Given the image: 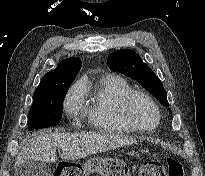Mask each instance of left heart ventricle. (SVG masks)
<instances>
[{
  "label": "left heart ventricle",
  "instance_id": "left-heart-ventricle-1",
  "mask_svg": "<svg viewBox=\"0 0 205 176\" xmlns=\"http://www.w3.org/2000/svg\"><path fill=\"white\" fill-rule=\"evenodd\" d=\"M133 120L141 126H152L157 121L153 107L143 98H136L131 106Z\"/></svg>",
  "mask_w": 205,
  "mask_h": 176
}]
</instances>
